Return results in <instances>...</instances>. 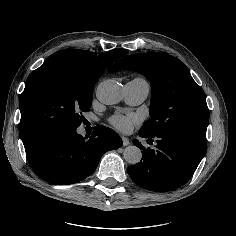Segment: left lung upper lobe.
I'll use <instances>...</instances> for the list:
<instances>
[{
  "label": "left lung upper lobe",
  "mask_w": 236,
  "mask_h": 236,
  "mask_svg": "<svg viewBox=\"0 0 236 236\" xmlns=\"http://www.w3.org/2000/svg\"><path fill=\"white\" fill-rule=\"evenodd\" d=\"M133 70L151 83L150 118L139 133L155 136L164 131L206 139L209 111L202 88L179 59L162 53L126 56L108 71Z\"/></svg>",
  "instance_id": "1"
}]
</instances>
